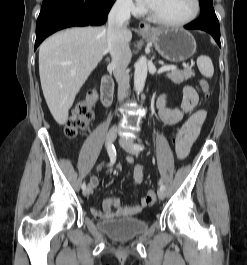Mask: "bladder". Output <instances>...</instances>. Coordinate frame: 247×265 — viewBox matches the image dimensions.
Masks as SVG:
<instances>
[{
    "label": "bladder",
    "mask_w": 247,
    "mask_h": 265,
    "mask_svg": "<svg viewBox=\"0 0 247 265\" xmlns=\"http://www.w3.org/2000/svg\"><path fill=\"white\" fill-rule=\"evenodd\" d=\"M98 227L116 241H127L144 233L148 223L139 218H120L100 221Z\"/></svg>",
    "instance_id": "31cf9c89"
}]
</instances>
